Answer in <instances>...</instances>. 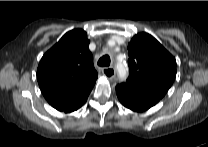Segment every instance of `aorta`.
I'll list each match as a JSON object with an SVG mask.
<instances>
[{"mask_svg":"<svg viewBox=\"0 0 208 147\" xmlns=\"http://www.w3.org/2000/svg\"><path fill=\"white\" fill-rule=\"evenodd\" d=\"M117 72L120 80H124L127 77V68L121 62L117 64Z\"/></svg>","mask_w":208,"mask_h":147,"instance_id":"obj_1","label":"aorta"}]
</instances>
